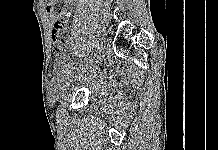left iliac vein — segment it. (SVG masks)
I'll return each instance as SVG.
<instances>
[{"label": "left iliac vein", "mask_w": 218, "mask_h": 150, "mask_svg": "<svg viewBox=\"0 0 218 150\" xmlns=\"http://www.w3.org/2000/svg\"><path fill=\"white\" fill-rule=\"evenodd\" d=\"M67 79H68V81L65 82L64 88L62 89V92L60 93L62 96L64 94H67L69 86L71 84H73V81H75L77 79V73H72V76H69Z\"/></svg>", "instance_id": "4c4485c4"}]
</instances>
